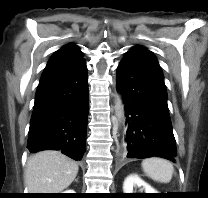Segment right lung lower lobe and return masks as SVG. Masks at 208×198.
<instances>
[{
	"mask_svg": "<svg viewBox=\"0 0 208 198\" xmlns=\"http://www.w3.org/2000/svg\"><path fill=\"white\" fill-rule=\"evenodd\" d=\"M89 112L86 63L40 82L32 113L27 148L31 153L61 150L74 160L85 151Z\"/></svg>",
	"mask_w": 208,
	"mask_h": 198,
	"instance_id": "obj_1",
	"label": "right lung lower lobe"
}]
</instances>
